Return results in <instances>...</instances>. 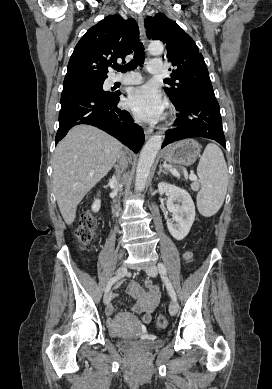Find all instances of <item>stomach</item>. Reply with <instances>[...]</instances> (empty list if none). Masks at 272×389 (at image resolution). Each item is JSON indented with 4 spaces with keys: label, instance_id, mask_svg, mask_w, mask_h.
<instances>
[{
    "label": "stomach",
    "instance_id": "1",
    "mask_svg": "<svg viewBox=\"0 0 272 389\" xmlns=\"http://www.w3.org/2000/svg\"><path fill=\"white\" fill-rule=\"evenodd\" d=\"M201 145L194 139H185L168 145L162 151V158L179 165H191L200 156Z\"/></svg>",
    "mask_w": 272,
    "mask_h": 389
}]
</instances>
